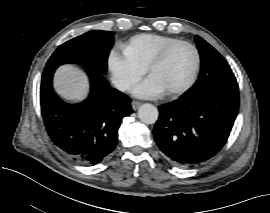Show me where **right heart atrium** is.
I'll return each mask as SVG.
<instances>
[{"mask_svg":"<svg viewBox=\"0 0 270 213\" xmlns=\"http://www.w3.org/2000/svg\"><path fill=\"white\" fill-rule=\"evenodd\" d=\"M109 67L115 84L124 91L131 90L145 75L146 67L133 62L125 50L113 51L109 57Z\"/></svg>","mask_w":270,"mask_h":213,"instance_id":"obj_1","label":"right heart atrium"}]
</instances>
